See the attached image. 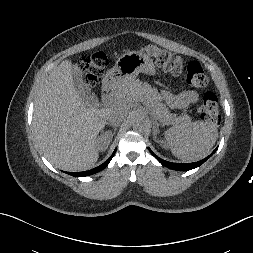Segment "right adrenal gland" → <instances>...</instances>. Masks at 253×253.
<instances>
[{"label": "right adrenal gland", "mask_w": 253, "mask_h": 253, "mask_svg": "<svg viewBox=\"0 0 253 253\" xmlns=\"http://www.w3.org/2000/svg\"><path fill=\"white\" fill-rule=\"evenodd\" d=\"M113 129H114V133H115L117 130V125L113 126Z\"/></svg>", "instance_id": "1"}]
</instances>
